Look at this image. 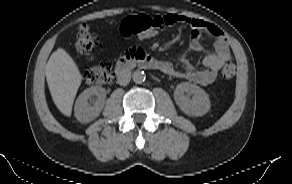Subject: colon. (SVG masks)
<instances>
[{"label": "colon", "mask_w": 292, "mask_h": 184, "mask_svg": "<svg viewBox=\"0 0 292 184\" xmlns=\"http://www.w3.org/2000/svg\"><path fill=\"white\" fill-rule=\"evenodd\" d=\"M161 26L155 17L148 15H136L127 17L120 25V32L123 36L137 35L143 40H153L161 32ZM97 37L91 32L87 25H82L76 35L75 47L83 55H90L98 46ZM236 74V66L227 63L222 69L224 79H232ZM112 63L104 60L86 70L83 73V80L88 84H108L113 81Z\"/></svg>", "instance_id": "colon-1"}]
</instances>
